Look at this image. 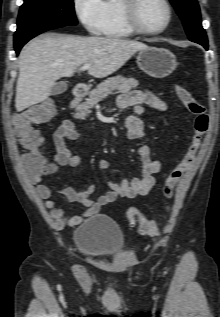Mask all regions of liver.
<instances>
[{
  "label": "liver",
  "mask_w": 220,
  "mask_h": 317,
  "mask_svg": "<svg viewBox=\"0 0 220 317\" xmlns=\"http://www.w3.org/2000/svg\"><path fill=\"white\" fill-rule=\"evenodd\" d=\"M148 46L116 37H76L46 34L31 40L19 55L16 85L17 112L48 98L56 80L71 77L90 63L88 74L104 78L121 68L136 52Z\"/></svg>",
  "instance_id": "1"
}]
</instances>
